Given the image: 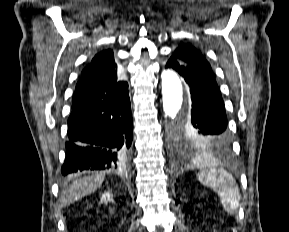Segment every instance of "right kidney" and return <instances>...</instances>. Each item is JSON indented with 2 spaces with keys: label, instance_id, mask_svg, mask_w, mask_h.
Here are the masks:
<instances>
[{
  "label": "right kidney",
  "instance_id": "1",
  "mask_svg": "<svg viewBox=\"0 0 289 232\" xmlns=\"http://www.w3.org/2000/svg\"><path fill=\"white\" fill-rule=\"evenodd\" d=\"M100 201L101 203H105L107 204L108 202H112L113 201V195L110 191L105 192L104 194H102V196L100 197Z\"/></svg>",
  "mask_w": 289,
  "mask_h": 232
}]
</instances>
